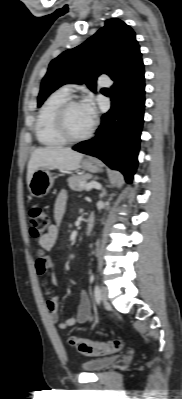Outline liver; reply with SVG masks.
I'll return each mask as SVG.
<instances>
[{"instance_id": "obj_1", "label": "liver", "mask_w": 182, "mask_h": 399, "mask_svg": "<svg viewBox=\"0 0 182 399\" xmlns=\"http://www.w3.org/2000/svg\"><path fill=\"white\" fill-rule=\"evenodd\" d=\"M83 154L63 147H45L34 150L28 162L27 184L41 167L73 171L80 167Z\"/></svg>"}]
</instances>
